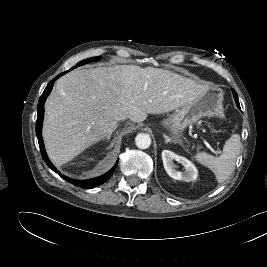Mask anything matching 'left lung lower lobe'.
I'll list each match as a JSON object with an SVG mask.
<instances>
[{"label":"left lung lower lobe","instance_id":"left-lung-lower-lobe-1","mask_svg":"<svg viewBox=\"0 0 267 267\" xmlns=\"http://www.w3.org/2000/svg\"><path fill=\"white\" fill-rule=\"evenodd\" d=\"M232 92H233V96H234V99L236 101V104H237V107L240 108V104H239V100H238V96H237V93L235 90L232 89Z\"/></svg>","mask_w":267,"mask_h":267}]
</instances>
